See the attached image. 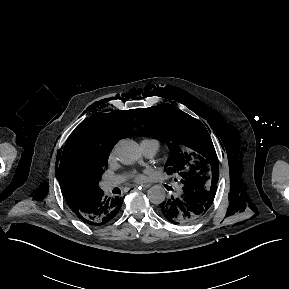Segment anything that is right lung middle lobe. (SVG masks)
I'll return each instance as SVG.
<instances>
[{
  "mask_svg": "<svg viewBox=\"0 0 289 289\" xmlns=\"http://www.w3.org/2000/svg\"><path fill=\"white\" fill-rule=\"evenodd\" d=\"M107 161L103 162V164L101 165V167L99 168V173L100 175L103 174L104 170L107 168Z\"/></svg>",
  "mask_w": 289,
  "mask_h": 289,
  "instance_id": "1",
  "label": "right lung middle lobe"
}]
</instances>
